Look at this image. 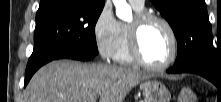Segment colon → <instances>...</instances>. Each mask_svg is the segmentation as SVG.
<instances>
[{"instance_id":"5ec220e1","label":"colon","mask_w":221,"mask_h":102,"mask_svg":"<svg viewBox=\"0 0 221 102\" xmlns=\"http://www.w3.org/2000/svg\"><path fill=\"white\" fill-rule=\"evenodd\" d=\"M179 102H198L196 92L189 87L183 88L179 94Z\"/></svg>"}]
</instances>
